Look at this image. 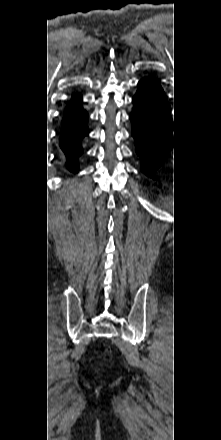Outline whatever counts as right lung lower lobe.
Here are the masks:
<instances>
[{
    "instance_id": "1",
    "label": "right lung lower lobe",
    "mask_w": 221,
    "mask_h": 440,
    "mask_svg": "<svg viewBox=\"0 0 221 440\" xmlns=\"http://www.w3.org/2000/svg\"><path fill=\"white\" fill-rule=\"evenodd\" d=\"M82 97L75 95L67 105L62 121L60 147L67 157V167L70 171L78 169L77 159L82 154L81 140L89 130L87 127V112L81 107Z\"/></svg>"
}]
</instances>
